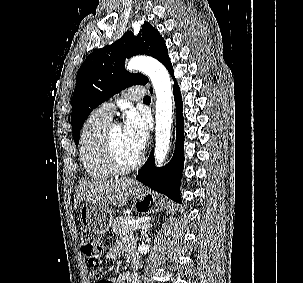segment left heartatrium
Returning a JSON list of instances; mask_svg holds the SVG:
<instances>
[{"label": "left heart atrium", "instance_id": "obj_1", "mask_svg": "<svg viewBox=\"0 0 303 283\" xmlns=\"http://www.w3.org/2000/svg\"><path fill=\"white\" fill-rule=\"evenodd\" d=\"M122 130L131 147L140 153L148 139L147 119L135 110H130L126 114Z\"/></svg>", "mask_w": 303, "mask_h": 283}]
</instances>
